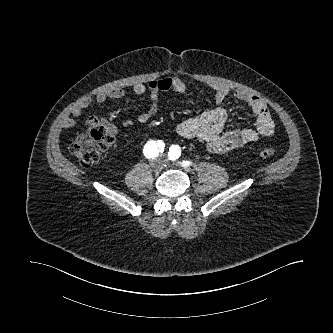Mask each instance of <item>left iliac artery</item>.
I'll return each instance as SVG.
<instances>
[{
    "mask_svg": "<svg viewBox=\"0 0 333 333\" xmlns=\"http://www.w3.org/2000/svg\"><path fill=\"white\" fill-rule=\"evenodd\" d=\"M180 155H181V150H180L179 146L172 145L169 148V152H168L169 159L176 160L180 157ZM190 164H191V162H189V161H183V166H188Z\"/></svg>",
    "mask_w": 333,
    "mask_h": 333,
    "instance_id": "left-iliac-artery-1",
    "label": "left iliac artery"
}]
</instances>
